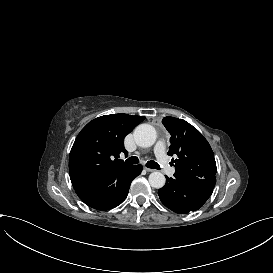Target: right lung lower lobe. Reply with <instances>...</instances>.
<instances>
[{
  "label": "right lung lower lobe",
  "mask_w": 273,
  "mask_h": 273,
  "mask_svg": "<svg viewBox=\"0 0 273 273\" xmlns=\"http://www.w3.org/2000/svg\"><path fill=\"white\" fill-rule=\"evenodd\" d=\"M142 169L141 165H135L129 172L115 178L109 186L108 195L90 207L103 211L118 206L127 197L132 180L141 173Z\"/></svg>",
  "instance_id": "98d812e1"
}]
</instances>
